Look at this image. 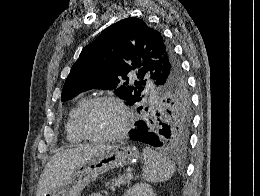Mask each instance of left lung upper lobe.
<instances>
[{
    "label": "left lung upper lobe",
    "instance_id": "obj_1",
    "mask_svg": "<svg viewBox=\"0 0 260 196\" xmlns=\"http://www.w3.org/2000/svg\"><path fill=\"white\" fill-rule=\"evenodd\" d=\"M131 72L139 79L135 81L136 87H127L126 81L115 91L117 96L126 100V105L140 102L143 78L150 74L159 86L158 96L150 108H138L141 121L159 135V147L184 151L192 123L186 80L161 32L141 19H122L86 46L71 68L61 99L69 100L89 89L116 88L122 80H128L127 74Z\"/></svg>",
    "mask_w": 260,
    "mask_h": 196
}]
</instances>
